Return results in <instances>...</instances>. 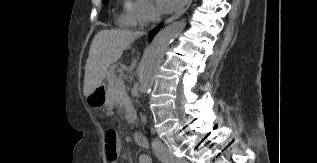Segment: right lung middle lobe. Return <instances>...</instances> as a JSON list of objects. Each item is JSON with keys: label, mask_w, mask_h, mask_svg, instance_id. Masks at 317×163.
I'll use <instances>...</instances> for the list:
<instances>
[{"label": "right lung middle lobe", "mask_w": 317, "mask_h": 163, "mask_svg": "<svg viewBox=\"0 0 317 163\" xmlns=\"http://www.w3.org/2000/svg\"><path fill=\"white\" fill-rule=\"evenodd\" d=\"M103 3H104V4H107V3H108V0H103Z\"/></svg>", "instance_id": "right-lung-middle-lobe-1"}]
</instances>
